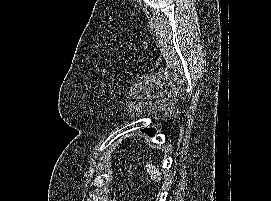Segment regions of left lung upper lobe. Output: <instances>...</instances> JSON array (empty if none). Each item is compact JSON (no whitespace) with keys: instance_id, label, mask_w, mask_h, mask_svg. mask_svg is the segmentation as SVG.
Here are the masks:
<instances>
[{"instance_id":"1","label":"left lung upper lobe","mask_w":271,"mask_h":201,"mask_svg":"<svg viewBox=\"0 0 271 201\" xmlns=\"http://www.w3.org/2000/svg\"><path fill=\"white\" fill-rule=\"evenodd\" d=\"M144 133L150 135V136H153L155 134V130L152 129V128H146L144 130H142Z\"/></svg>"}]
</instances>
